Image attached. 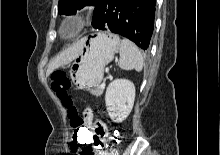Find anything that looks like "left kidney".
Masks as SVG:
<instances>
[{
	"mask_svg": "<svg viewBox=\"0 0 220 155\" xmlns=\"http://www.w3.org/2000/svg\"><path fill=\"white\" fill-rule=\"evenodd\" d=\"M135 100V86L127 79H116L107 87L105 102L108 115L115 123L123 122L130 114Z\"/></svg>",
	"mask_w": 220,
	"mask_h": 155,
	"instance_id": "left-kidney-1",
	"label": "left kidney"
}]
</instances>
